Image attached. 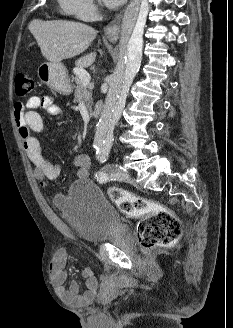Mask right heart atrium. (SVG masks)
Segmentation results:
<instances>
[{"instance_id":"1","label":"right heart atrium","mask_w":233,"mask_h":328,"mask_svg":"<svg viewBox=\"0 0 233 328\" xmlns=\"http://www.w3.org/2000/svg\"><path fill=\"white\" fill-rule=\"evenodd\" d=\"M66 2L69 13L83 21L92 19L97 10L95 0H66Z\"/></svg>"}]
</instances>
